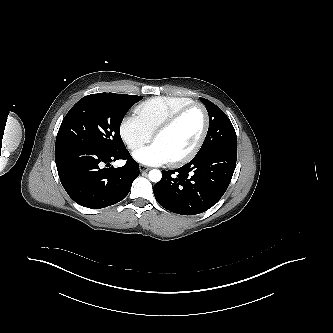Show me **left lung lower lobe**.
Here are the masks:
<instances>
[{
    "label": "left lung lower lobe",
    "mask_w": 333,
    "mask_h": 333,
    "mask_svg": "<svg viewBox=\"0 0 333 333\" xmlns=\"http://www.w3.org/2000/svg\"><path fill=\"white\" fill-rule=\"evenodd\" d=\"M237 148L225 147L197 154L176 170L162 171L153 191L165 209L196 215L215 205L227 190L233 176Z\"/></svg>",
    "instance_id": "obj_1"
}]
</instances>
